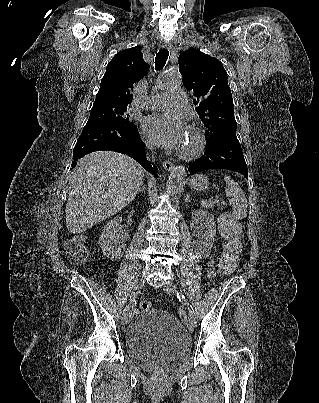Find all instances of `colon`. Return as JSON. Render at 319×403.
Listing matches in <instances>:
<instances>
[{"label":"colon","mask_w":319,"mask_h":403,"mask_svg":"<svg viewBox=\"0 0 319 403\" xmlns=\"http://www.w3.org/2000/svg\"><path fill=\"white\" fill-rule=\"evenodd\" d=\"M221 236L224 239L222 253L219 256L218 267L221 273L227 274L232 272L241 259L242 229L237 220L231 217L224 218L219 224ZM65 253L71 264L82 265L85 263L88 252L85 240L82 236L74 237L65 244ZM151 303L147 299H141L139 307L142 310H148Z\"/></svg>","instance_id":"obj_1"}]
</instances>
